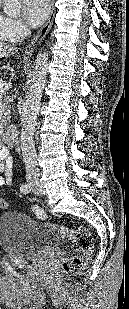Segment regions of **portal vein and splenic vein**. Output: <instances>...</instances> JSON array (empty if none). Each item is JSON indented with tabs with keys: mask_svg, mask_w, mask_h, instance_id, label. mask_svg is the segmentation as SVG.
Instances as JSON below:
<instances>
[{
	"mask_svg": "<svg viewBox=\"0 0 129 309\" xmlns=\"http://www.w3.org/2000/svg\"><path fill=\"white\" fill-rule=\"evenodd\" d=\"M3 87H5L6 89H10L12 87V83L7 82V83L0 84V88H3Z\"/></svg>",
	"mask_w": 129,
	"mask_h": 309,
	"instance_id": "obj_1",
	"label": "portal vein and splenic vein"
}]
</instances>
